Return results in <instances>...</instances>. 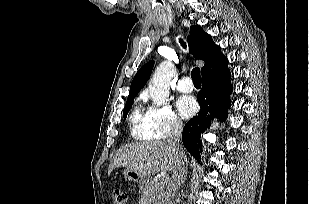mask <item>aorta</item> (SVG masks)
<instances>
[{"label":"aorta","instance_id":"762f6f07","mask_svg":"<svg viewBox=\"0 0 309 204\" xmlns=\"http://www.w3.org/2000/svg\"><path fill=\"white\" fill-rule=\"evenodd\" d=\"M174 73L175 67L170 61L162 62L156 68L149 84V95L154 104L161 106L166 103Z\"/></svg>","mask_w":309,"mask_h":204}]
</instances>
